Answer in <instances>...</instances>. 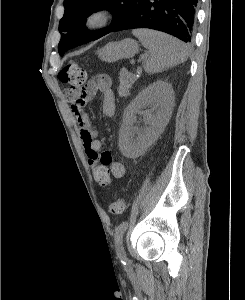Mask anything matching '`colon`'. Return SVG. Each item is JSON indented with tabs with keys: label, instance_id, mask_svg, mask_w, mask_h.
<instances>
[{
	"label": "colon",
	"instance_id": "1",
	"mask_svg": "<svg viewBox=\"0 0 245 300\" xmlns=\"http://www.w3.org/2000/svg\"><path fill=\"white\" fill-rule=\"evenodd\" d=\"M58 78L62 83L68 85L64 90L65 98L70 102H74L78 99L87 81V73L76 62L71 61L61 69ZM125 207V201L122 198H117L109 206V211L118 215L124 212Z\"/></svg>",
	"mask_w": 245,
	"mask_h": 300
}]
</instances>
